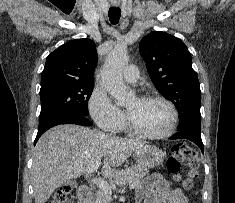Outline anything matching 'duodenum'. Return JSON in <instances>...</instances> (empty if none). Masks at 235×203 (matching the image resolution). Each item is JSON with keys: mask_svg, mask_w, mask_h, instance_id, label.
<instances>
[{"mask_svg": "<svg viewBox=\"0 0 235 203\" xmlns=\"http://www.w3.org/2000/svg\"><path fill=\"white\" fill-rule=\"evenodd\" d=\"M92 189L88 184L80 186L77 190V202L78 203H90Z\"/></svg>", "mask_w": 235, "mask_h": 203, "instance_id": "410a0bca", "label": "duodenum"}]
</instances>
